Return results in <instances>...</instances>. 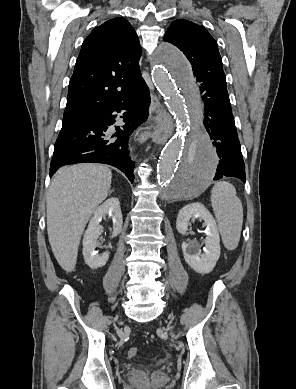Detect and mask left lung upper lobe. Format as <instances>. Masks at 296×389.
Here are the masks:
<instances>
[{"instance_id":"left-lung-upper-lobe-1","label":"left lung upper lobe","mask_w":296,"mask_h":389,"mask_svg":"<svg viewBox=\"0 0 296 389\" xmlns=\"http://www.w3.org/2000/svg\"><path fill=\"white\" fill-rule=\"evenodd\" d=\"M164 41L185 54L196 80L202 76L224 75L217 43L204 27L188 20H176L168 27Z\"/></svg>"}]
</instances>
